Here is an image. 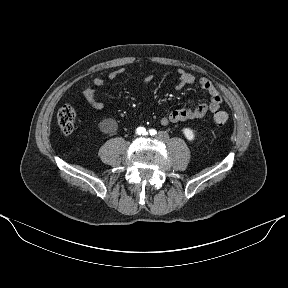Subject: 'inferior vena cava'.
I'll list each match as a JSON object with an SVG mask.
<instances>
[{"mask_svg": "<svg viewBox=\"0 0 288 288\" xmlns=\"http://www.w3.org/2000/svg\"><path fill=\"white\" fill-rule=\"evenodd\" d=\"M157 139L161 143H167L170 139V134L166 130H161L157 134Z\"/></svg>", "mask_w": 288, "mask_h": 288, "instance_id": "602c4592", "label": "inferior vena cava"}]
</instances>
